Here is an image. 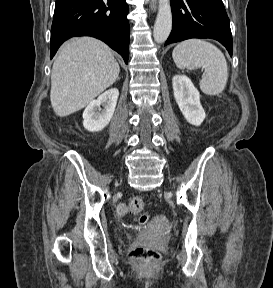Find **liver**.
<instances>
[{
    "instance_id": "6515ba94",
    "label": "liver",
    "mask_w": 273,
    "mask_h": 288,
    "mask_svg": "<svg viewBox=\"0 0 273 288\" xmlns=\"http://www.w3.org/2000/svg\"><path fill=\"white\" fill-rule=\"evenodd\" d=\"M120 67L112 50L92 37H78L59 50L51 73L50 101L59 117L92 102L118 78Z\"/></svg>"
}]
</instances>
